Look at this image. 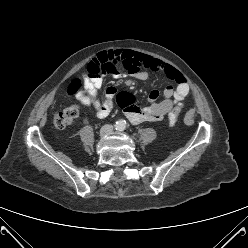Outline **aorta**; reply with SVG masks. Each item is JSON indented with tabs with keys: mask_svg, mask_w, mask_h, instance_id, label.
Returning <instances> with one entry per match:
<instances>
[{
	"mask_svg": "<svg viewBox=\"0 0 248 248\" xmlns=\"http://www.w3.org/2000/svg\"><path fill=\"white\" fill-rule=\"evenodd\" d=\"M117 127H118V129H124L125 128V121L124 120H119L118 122H117Z\"/></svg>",
	"mask_w": 248,
	"mask_h": 248,
	"instance_id": "obj_1",
	"label": "aorta"
}]
</instances>
